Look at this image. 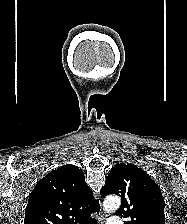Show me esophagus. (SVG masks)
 Listing matches in <instances>:
<instances>
[{
    "instance_id": "esophagus-1",
    "label": "esophagus",
    "mask_w": 187,
    "mask_h": 224,
    "mask_svg": "<svg viewBox=\"0 0 187 224\" xmlns=\"http://www.w3.org/2000/svg\"><path fill=\"white\" fill-rule=\"evenodd\" d=\"M106 219H107V214H106V212L103 210V211L100 213L99 218H98V220H99V224H105Z\"/></svg>"
}]
</instances>
